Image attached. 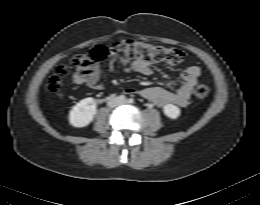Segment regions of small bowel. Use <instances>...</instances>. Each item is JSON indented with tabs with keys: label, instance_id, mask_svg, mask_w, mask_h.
<instances>
[{
	"label": "small bowel",
	"instance_id": "c3829d8e",
	"mask_svg": "<svg viewBox=\"0 0 260 205\" xmlns=\"http://www.w3.org/2000/svg\"><path fill=\"white\" fill-rule=\"evenodd\" d=\"M125 72H136L143 75H151L153 70L149 61L135 59L131 63L119 62L118 57L114 52L108 55V67L111 71H115L118 66ZM101 71L99 68L87 77H74L76 84H84L94 90H102L103 84L100 82ZM201 75V68L196 65L186 67L181 75V82L175 91H170L164 87L154 86L143 88L140 90L128 89L127 93H138L142 97L154 102L158 107H166L168 105H177L186 107L189 103L193 88Z\"/></svg>",
	"mask_w": 260,
	"mask_h": 205
}]
</instances>
